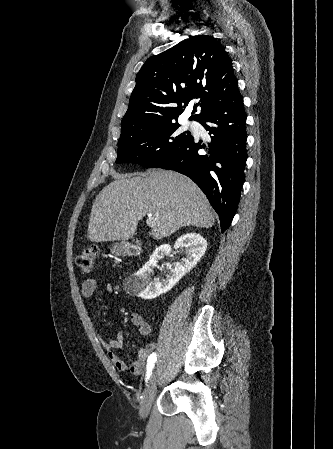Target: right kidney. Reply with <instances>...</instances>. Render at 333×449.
<instances>
[{
    "instance_id": "ca27d5eb",
    "label": "right kidney",
    "mask_w": 333,
    "mask_h": 449,
    "mask_svg": "<svg viewBox=\"0 0 333 449\" xmlns=\"http://www.w3.org/2000/svg\"><path fill=\"white\" fill-rule=\"evenodd\" d=\"M174 247L176 249L184 248L186 256L182 258L181 262H176L174 268H170L165 278L151 281L149 274L157 266L159 259L170 254L171 247L169 244L156 248L149 261L136 273L135 282L138 297L154 299L171 290L200 261L206 251L207 242L200 234L187 233L178 238Z\"/></svg>"
}]
</instances>
